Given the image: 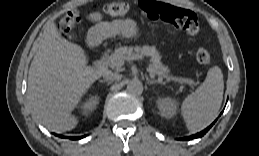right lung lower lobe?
<instances>
[{"label": "right lung lower lobe", "instance_id": "right-lung-lower-lobe-1", "mask_svg": "<svg viewBox=\"0 0 259 156\" xmlns=\"http://www.w3.org/2000/svg\"><path fill=\"white\" fill-rule=\"evenodd\" d=\"M58 136H60V135H58ZM85 136H80V137H69V138H71V139H81V138H84Z\"/></svg>", "mask_w": 259, "mask_h": 156}]
</instances>
